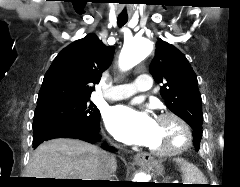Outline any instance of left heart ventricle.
I'll return each instance as SVG.
<instances>
[{
    "instance_id": "left-heart-ventricle-1",
    "label": "left heart ventricle",
    "mask_w": 240,
    "mask_h": 187,
    "mask_svg": "<svg viewBox=\"0 0 240 187\" xmlns=\"http://www.w3.org/2000/svg\"><path fill=\"white\" fill-rule=\"evenodd\" d=\"M181 134L178 126L170 119L157 121V130L149 148L166 149L179 144Z\"/></svg>"
}]
</instances>
